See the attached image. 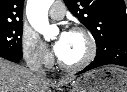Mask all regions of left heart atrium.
<instances>
[{"mask_svg": "<svg viewBox=\"0 0 127 92\" xmlns=\"http://www.w3.org/2000/svg\"><path fill=\"white\" fill-rule=\"evenodd\" d=\"M68 36H69L68 32L61 33V35L58 37V39L53 45V49L56 55H58L59 57L63 54L65 50V47L68 41Z\"/></svg>", "mask_w": 127, "mask_h": 92, "instance_id": "1", "label": "left heart atrium"}]
</instances>
